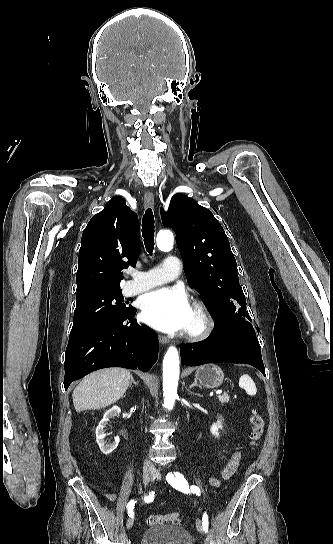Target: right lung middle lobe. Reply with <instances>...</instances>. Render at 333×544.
<instances>
[{
    "mask_svg": "<svg viewBox=\"0 0 333 544\" xmlns=\"http://www.w3.org/2000/svg\"><path fill=\"white\" fill-rule=\"evenodd\" d=\"M74 323L70 337L81 336L98 326L119 319L133 307L127 306L121 290L106 291L76 299Z\"/></svg>",
    "mask_w": 333,
    "mask_h": 544,
    "instance_id": "dd1d6c3e",
    "label": "right lung middle lobe"
}]
</instances>
